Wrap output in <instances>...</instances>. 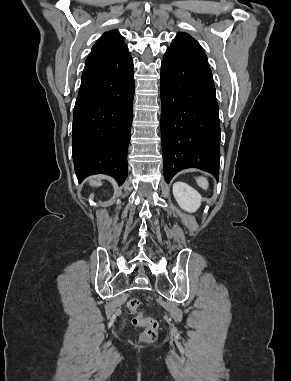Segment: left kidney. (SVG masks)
I'll list each match as a JSON object with an SVG mask.
<instances>
[{"label": "left kidney", "mask_w": 291, "mask_h": 381, "mask_svg": "<svg viewBox=\"0 0 291 381\" xmlns=\"http://www.w3.org/2000/svg\"><path fill=\"white\" fill-rule=\"evenodd\" d=\"M173 195L178 205L187 212H195L201 205V195L186 183L175 182Z\"/></svg>", "instance_id": "left-kidney-1"}]
</instances>
